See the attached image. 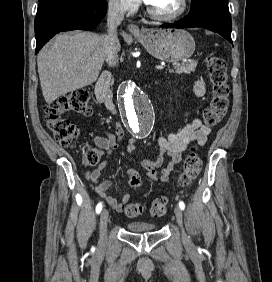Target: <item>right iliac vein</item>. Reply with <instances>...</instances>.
<instances>
[{"label":"right iliac vein","instance_id":"63e3f726","mask_svg":"<svg viewBox=\"0 0 272 282\" xmlns=\"http://www.w3.org/2000/svg\"><path fill=\"white\" fill-rule=\"evenodd\" d=\"M108 217H109L108 211L106 209H103L99 219V228H100V235L102 240H105L106 238Z\"/></svg>","mask_w":272,"mask_h":282}]
</instances>
